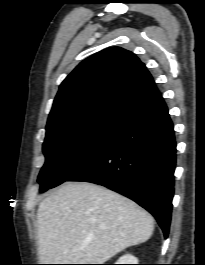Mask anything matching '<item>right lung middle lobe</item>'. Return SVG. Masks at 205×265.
I'll list each match as a JSON object with an SVG mask.
<instances>
[{
  "mask_svg": "<svg viewBox=\"0 0 205 265\" xmlns=\"http://www.w3.org/2000/svg\"><path fill=\"white\" fill-rule=\"evenodd\" d=\"M122 125L97 122L62 132H46L45 164L38 176L40 192L56 187L95 158Z\"/></svg>",
  "mask_w": 205,
  "mask_h": 265,
  "instance_id": "right-lung-middle-lobe-1",
  "label": "right lung middle lobe"
}]
</instances>
